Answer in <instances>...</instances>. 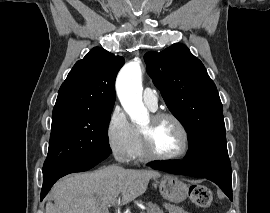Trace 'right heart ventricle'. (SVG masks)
Listing matches in <instances>:
<instances>
[{
	"mask_svg": "<svg viewBox=\"0 0 270 213\" xmlns=\"http://www.w3.org/2000/svg\"><path fill=\"white\" fill-rule=\"evenodd\" d=\"M131 158L136 161L145 160V156L142 151L139 129L135 128V142L131 153Z\"/></svg>",
	"mask_w": 270,
	"mask_h": 213,
	"instance_id": "e07e8e85",
	"label": "right heart ventricle"
}]
</instances>
